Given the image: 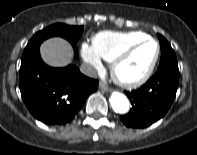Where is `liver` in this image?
I'll return each mask as SVG.
<instances>
[{"label":"liver","mask_w":197,"mask_h":155,"mask_svg":"<svg viewBox=\"0 0 197 155\" xmlns=\"http://www.w3.org/2000/svg\"><path fill=\"white\" fill-rule=\"evenodd\" d=\"M43 60L51 66L63 67L71 61L72 48L62 38H51L46 40L40 47Z\"/></svg>","instance_id":"liver-1"}]
</instances>
